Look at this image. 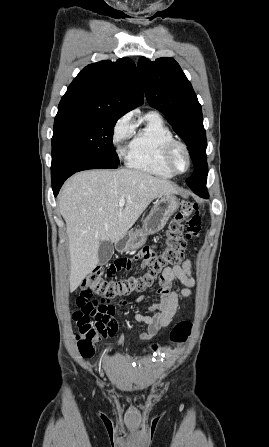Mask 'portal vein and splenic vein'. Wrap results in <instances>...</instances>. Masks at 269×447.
I'll list each match as a JSON object with an SVG mask.
<instances>
[{
  "instance_id": "obj_1",
  "label": "portal vein and splenic vein",
  "mask_w": 269,
  "mask_h": 447,
  "mask_svg": "<svg viewBox=\"0 0 269 447\" xmlns=\"http://www.w3.org/2000/svg\"><path fill=\"white\" fill-rule=\"evenodd\" d=\"M125 202H126V200H119V206H120V208H123Z\"/></svg>"
}]
</instances>
